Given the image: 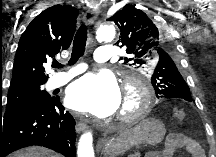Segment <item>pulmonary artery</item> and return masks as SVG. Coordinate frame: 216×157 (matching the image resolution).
Returning a JSON list of instances; mask_svg holds the SVG:
<instances>
[{"mask_svg": "<svg viewBox=\"0 0 216 157\" xmlns=\"http://www.w3.org/2000/svg\"><path fill=\"white\" fill-rule=\"evenodd\" d=\"M112 57V51L109 46H100L94 52V59L98 62H107ZM86 70L85 65H77L70 67L66 72L54 75L48 82L49 88H56L66 84L76 75Z\"/></svg>", "mask_w": 216, "mask_h": 157, "instance_id": "1", "label": "pulmonary artery"}]
</instances>
